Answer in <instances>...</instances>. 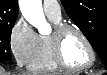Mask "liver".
I'll return each mask as SVG.
<instances>
[{
  "instance_id": "1",
  "label": "liver",
  "mask_w": 107,
  "mask_h": 75,
  "mask_svg": "<svg viewBox=\"0 0 107 75\" xmlns=\"http://www.w3.org/2000/svg\"><path fill=\"white\" fill-rule=\"evenodd\" d=\"M1 75H6L4 72H1ZM19 75H32L30 73H22V74H19Z\"/></svg>"
}]
</instances>
